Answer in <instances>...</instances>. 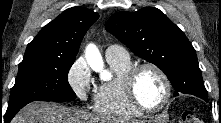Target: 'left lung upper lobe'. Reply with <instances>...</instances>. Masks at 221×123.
I'll return each instance as SVG.
<instances>
[{"instance_id": "obj_1", "label": "left lung upper lobe", "mask_w": 221, "mask_h": 123, "mask_svg": "<svg viewBox=\"0 0 221 123\" xmlns=\"http://www.w3.org/2000/svg\"><path fill=\"white\" fill-rule=\"evenodd\" d=\"M106 29L135 55L161 69L175 89L174 96L180 92L208 101L195 49L159 9L117 12L107 21Z\"/></svg>"}]
</instances>
